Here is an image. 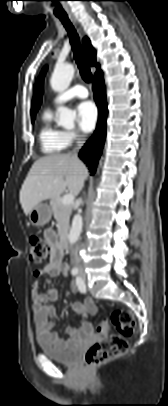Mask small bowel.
<instances>
[{
    "instance_id": "obj_1",
    "label": "small bowel",
    "mask_w": 168,
    "mask_h": 406,
    "mask_svg": "<svg viewBox=\"0 0 168 406\" xmlns=\"http://www.w3.org/2000/svg\"><path fill=\"white\" fill-rule=\"evenodd\" d=\"M45 238L52 247L50 261L43 268L35 270L34 275L37 278L49 276L51 279L66 275L68 266L63 262V250L58 243L57 235L54 231L47 230L45 232ZM51 279L48 280L49 283L52 281ZM39 285L40 282L37 280L31 286L32 309L38 335L58 347H64L72 345L82 336H90L93 334V324L90 321H85L80 328L67 326L65 332L68 336V340L62 339L58 333L54 332V322L52 319L57 318V312L51 303L57 300L58 293L52 288L41 293L39 292ZM71 289L76 291V285L71 284ZM73 310L79 315L87 316L96 313L97 307L91 298H87L84 303H74Z\"/></svg>"
}]
</instances>
